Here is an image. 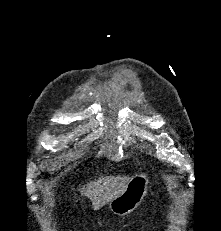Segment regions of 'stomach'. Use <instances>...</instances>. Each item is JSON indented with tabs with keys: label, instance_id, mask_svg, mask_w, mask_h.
<instances>
[{
	"label": "stomach",
	"instance_id": "1",
	"mask_svg": "<svg viewBox=\"0 0 221 231\" xmlns=\"http://www.w3.org/2000/svg\"><path fill=\"white\" fill-rule=\"evenodd\" d=\"M149 179L145 174L133 176L125 191L109 202V209L114 214L124 216L135 210L143 201L148 190Z\"/></svg>",
	"mask_w": 221,
	"mask_h": 231
}]
</instances>
